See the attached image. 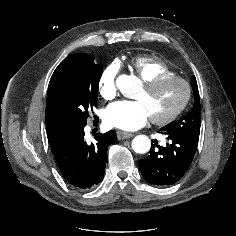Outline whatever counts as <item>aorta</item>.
<instances>
[{
  "instance_id": "762f6f07",
  "label": "aorta",
  "mask_w": 236,
  "mask_h": 236,
  "mask_svg": "<svg viewBox=\"0 0 236 236\" xmlns=\"http://www.w3.org/2000/svg\"><path fill=\"white\" fill-rule=\"evenodd\" d=\"M135 86V83L130 81L128 77H122L118 82V87L123 95L129 96L130 89ZM132 149L138 154H145L151 148V140L146 135H137L132 140Z\"/></svg>"
}]
</instances>
